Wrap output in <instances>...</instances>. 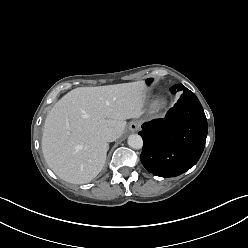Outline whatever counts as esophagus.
Instances as JSON below:
<instances>
[{"label":"esophagus","instance_id":"34e87169","mask_svg":"<svg viewBox=\"0 0 248 248\" xmlns=\"http://www.w3.org/2000/svg\"><path fill=\"white\" fill-rule=\"evenodd\" d=\"M140 128V124L138 121H132L129 123V129L132 131V132H137Z\"/></svg>","mask_w":248,"mask_h":248}]
</instances>
